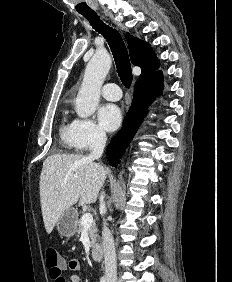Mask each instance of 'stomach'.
Instances as JSON below:
<instances>
[{
    "label": "stomach",
    "mask_w": 232,
    "mask_h": 282,
    "mask_svg": "<svg viewBox=\"0 0 232 282\" xmlns=\"http://www.w3.org/2000/svg\"><path fill=\"white\" fill-rule=\"evenodd\" d=\"M78 213L75 208H69L59 217L56 228L62 237L71 238L77 229Z\"/></svg>",
    "instance_id": "obj_1"
}]
</instances>
